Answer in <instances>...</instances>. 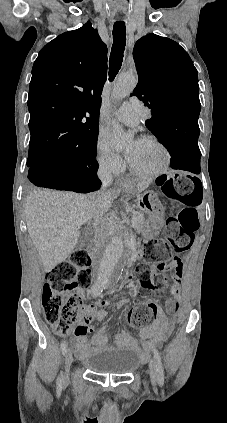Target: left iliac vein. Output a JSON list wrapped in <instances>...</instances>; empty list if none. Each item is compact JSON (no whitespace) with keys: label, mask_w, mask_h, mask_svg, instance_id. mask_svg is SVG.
<instances>
[{"label":"left iliac vein","mask_w":227,"mask_h":423,"mask_svg":"<svg viewBox=\"0 0 227 423\" xmlns=\"http://www.w3.org/2000/svg\"><path fill=\"white\" fill-rule=\"evenodd\" d=\"M149 375H150L152 385L156 386L157 373H156V366H155L154 359H151L150 362H149Z\"/></svg>","instance_id":"left-iliac-vein-1"}]
</instances>
